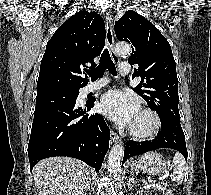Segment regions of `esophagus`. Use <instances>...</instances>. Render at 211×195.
<instances>
[{"label": "esophagus", "mask_w": 211, "mask_h": 195, "mask_svg": "<svg viewBox=\"0 0 211 195\" xmlns=\"http://www.w3.org/2000/svg\"><path fill=\"white\" fill-rule=\"evenodd\" d=\"M105 24H106V44L110 51L111 58L115 63L119 62V58L114 51V35H113V27H112V18L109 13L105 16ZM110 138L112 142H117L120 140L117 133L114 131L110 132Z\"/></svg>", "instance_id": "1"}]
</instances>
